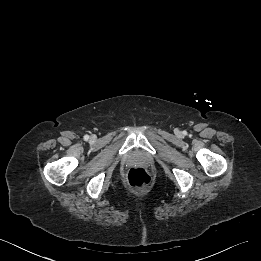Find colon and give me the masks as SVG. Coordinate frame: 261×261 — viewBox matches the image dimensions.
Here are the masks:
<instances>
[{
	"label": "colon",
	"mask_w": 261,
	"mask_h": 261,
	"mask_svg": "<svg viewBox=\"0 0 261 261\" xmlns=\"http://www.w3.org/2000/svg\"><path fill=\"white\" fill-rule=\"evenodd\" d=\"M126 180L129 187L143 189L151 183V176L144 168H132L129 170Z\"/></svg>",
	"instance_id": "5ec220e1"
}]
</instances>
